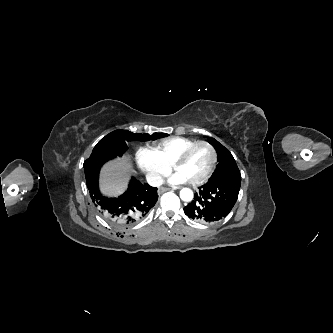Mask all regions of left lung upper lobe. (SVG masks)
<instances>
[{"mask_svg":"<svg viewBox=\"0 0 333 333\" xmlns=\"http://www.w3.org/2000/svg\"><path fill=\"white\" fill-rule=\"evenodd\" d=\"M208 142L216 149L219 162L212 177L217 176L225 171L238 169L232 154L227 148H225L214 138H209Z\"/></svg>","mask_w":333,"mask_h":333,"instance_id":"left-lung-upper-lobe-1","label":"left lung upper lobe"}]
</instances>
